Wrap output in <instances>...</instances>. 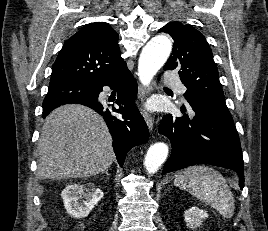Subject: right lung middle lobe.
<instances>
[{"label":"right lung middle lobe","instance_id":"1","mask_svg":"<svg viewBox=\"0 0 268 231\" xmlns=\"http://www.w3.org/2000/svg\"><path fill=\"white\" fill-rule=\"evenodd\" d=\"M90 86L77 83L50 84L48 93L43 103L52 101H72L77 99L89 98L92 96Z\"/></svg>","mask_w":268,"mask_h":231}]
</instances>
